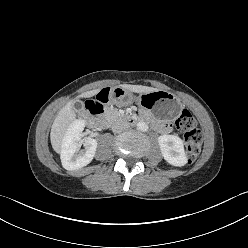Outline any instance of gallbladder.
<instances>
[{
    "label": "gallbladder",
    "mask_w": 248,
    "mask_h": 248,
    "mask_svg": "<svg viewBox=\"0 0 248 248\" xmlns=\"http://www.w3.org/2000/svg\"><path fill=\"white\" fill-rule=\"evenodd\" d=\"M76 110L80 111L83 109V103L80 100H76L73 104Z\"/></svg>",
    "instance_id": "1"
}]
</instances>
